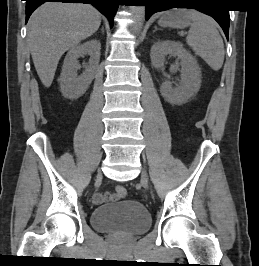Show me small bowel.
<instances>
[{
  "label": "small bowel",
  "mask_w": 259,
  "mask_h": 266,
  "mask_svg": "<svg viewBox=\"0 0 259 266\" xmlns=\"http://www.w3.org/2000/svg\"><path fill=\"white\" fill-rule=\"evenodd\" d=\"M117 196L116 194L113 193H109V192H103V193H97L94 195L93 197V201L96 204H102L104 202H108V201H115L117 200Z\"/></svg>",
  "instance_id": "small-bowel-1"
}]
</instances>
